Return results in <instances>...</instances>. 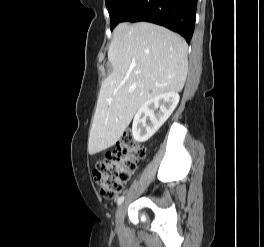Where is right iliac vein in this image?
Segmentation results:
<instances>
[{
	"mask_svg": "<svg viewBox=\"0 0 264 247\" xmlns=\"http://www.w3.org/2000/svg\"><path fill=\"white\" fill-rule=\"evenodd\" d=\"M116 228L118 232L124 230V205H121L116 211Z\"/></svg>",
	"mask_w": 264,
	"mask_h": 247,
	"instance_id": "right-iliac-vein-1",
	"label": "right iliac vein"
}]
</instances>
